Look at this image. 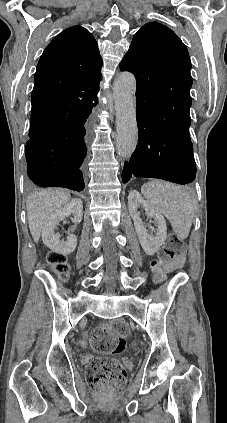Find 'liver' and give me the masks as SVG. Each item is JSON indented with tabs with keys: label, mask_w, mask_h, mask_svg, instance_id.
Wrapping results in <instances>:
<instances>
[{
	"label": "liver",
	"mask_w": 227,
	"mask_h": 423,
	"mask_svg": "<svg viewBox=\"0 0 227 423\" xmlns=\"http://www.w3.org/2000/svg\"><path fill=\"white\" fill-rule=\"evenodd\" d=\"M71 196L65 190L59 188H50V190H41L30 194L27 200V215L30 233L38 243L41 237V231L44 223L50 217L53 211L58 210L61 206H66Z\"/></svg>",
	"instance_id": "obj_1"
}]
</instances>
